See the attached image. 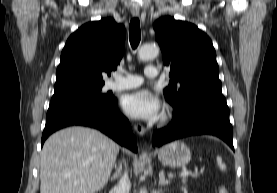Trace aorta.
Wrapping results in <instances>:
<instances>
[{"label":"aorta","mask_w":277,"mask_h":193,"mask_svg":"<svg viewBox=\"0 0 277 193\" xmlns=\"http://www.w3.org/2000/svg\"><path fill=\"white\" fill-rule=\"evenodd\" d=\"M159 54V47L155 44L143 45L138 51V57L142 61L152 60ZM145 189H141L140 193H146Z\"/></svg>","instance_id":"aorta-1"}]
</instances>
